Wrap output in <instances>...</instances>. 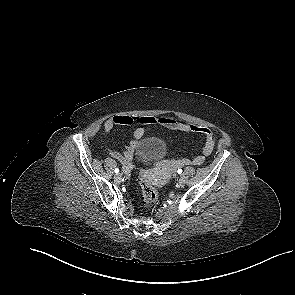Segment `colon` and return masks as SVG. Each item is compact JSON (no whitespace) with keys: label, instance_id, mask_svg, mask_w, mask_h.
I'll list each match as a JSON object with an SVG mask.
<instances>
[{"label":"colon","instance_id":"5ec220e1","mask_svg":"<svg viewBox=\"0 0 295 295\" xmlns=\"http://www.w3.org/2000/svg\"><path fill=\"white\" fill-rule=\"evenodd\" d=\"M158 203V195L154 187L151 185L149 177L146 173L142 175V190L138 196V205L142 209H148Z\"/></svg>","mask_w":295,"mask_h":295}]
</instances>
